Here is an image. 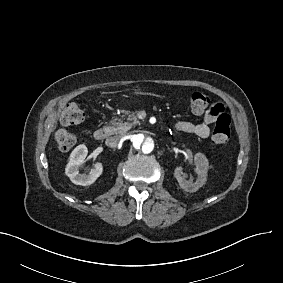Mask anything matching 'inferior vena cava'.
<instances>
[{"label":"inferior vena cava","instance_id":"obj_1","mask_svg":"<svg viewBox=\"0 0 283 283\" xmlns=\"http://www.w3.org/2000/svg\"><path fill=\"white\" fill-rule=\"evenodd\" d=\"M122 137L121 136H112L106 139V145L109 147H116L120 141H121Z\"/></svg>","mask_w":283,"mask_h":283}]
</instances>
